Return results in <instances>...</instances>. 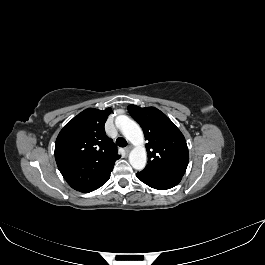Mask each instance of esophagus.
Wrapping results in <instances>:
<instances>
[{
  "label": "esophagus",
  "instance_id": "obj_1",
  "mask_svg": "<svg viewBox=\"0 0 265 265\" xmlns=\"http://www.w3.org/2000/svg\"><path fill=\"white\" fill-rule=\"evenodd\" d=\"M131 149H132V146L131 145L127 146L125 148L126 153H129L131 151Z\"/></svg>",
  "mask_w": 265,
  "mask_h": 265
}]
</instances>
